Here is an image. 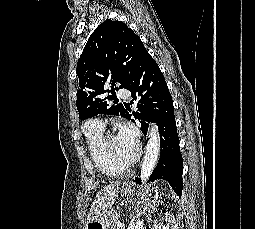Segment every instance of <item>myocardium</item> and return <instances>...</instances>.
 <instances>
[{
    "mask_svg": "<svg viewBox=\"0 0 255 229\" xmlns=\"http://www.w3.org/2000/svg\"><path fill=\"white\" fill-rule=\"evenodd\" d=\"M113 136H115L114 133L103 134V136L101 137V140H100V144H99L100 151L110 161V163L112 165L123 170V172H124V170L131 168L138 161V159L140 157V150H137L134 157L129 161H119V160L115 159L113 157V155L109 152L108 147H107V142H108L109 138H111Z\"/></svg>",
    "mask_w": 255,
    "mask_h": 229,
    "instance_id": "myocardium-1",
    "label": "myocardium"
}]
</instances>
